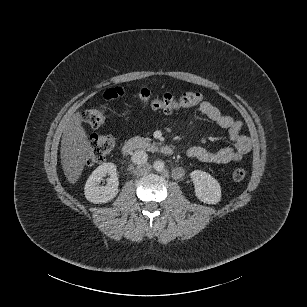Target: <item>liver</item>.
Instances as JSON below:
<instances>
[{"label":"liver","instance_id":"1","mask_svg":"<svg viewBox=\"0 0 307 307\" xmlns=\"http://www.w3.org/2000/svg\"><path fill=\"white\" fill-rule=\"evenodd\" d=\"M84 116L81 111H76L71 116L62 119L60 128L63 136L61 140V165L66 180L76 184L85 168L93 149L89 136L83 123Z\"/></svg>","mask_w":307,"mask_h":307}]
</instances>
